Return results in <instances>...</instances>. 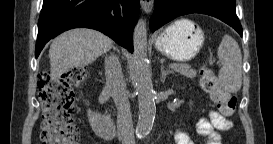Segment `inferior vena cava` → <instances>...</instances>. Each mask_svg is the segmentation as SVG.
I'll return each instance as SVG.
<instances>
[{"mask_svg": "<svg viewBox=\"0 0 273 144\" xmlns=\"http://www.w3.org/2000/svg\"><path fill=\"white\" fill-rule=\"evenodd\" d=\"M106 85L110 88L118 112V129L122 144H134V129L124 76L117 57L105 60Z\"/></svg>", "mask_w": 273, "mask_h": 144, "instance_id": "inferior-vena-cava-1", "label": "inferior vena cava"}]
</instances>
